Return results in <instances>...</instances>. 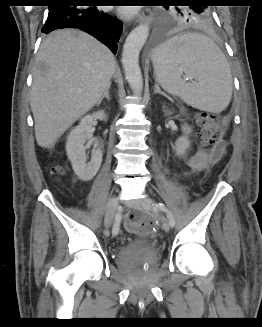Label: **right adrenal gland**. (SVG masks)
<instances>
[{
    "mask_svg": "<svg viewBox=\"0 0 262 327\" xmlns=\"http://www.w3.org/2000/svg\"><path fill=\"white\" fill-rule=\"evenodd\" d=\"M110 87H111V82H110L109 85L107 86V88H106L104 94L102 95V97H101L100 100L98 101V104H97V105H99V104L103 101L104 98H106L108 101L110 100V97H109V89H110Z\"/></svg>",
    "mask_w": 262,
    "mask_h": 327,
    "instance_id": "2a0ac1e0",
    "label": "right adrenal gland"
}]
</instances>
